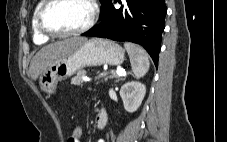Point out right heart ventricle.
I'll return each instance as SVG.
<instances>
[{"label": "right heart ventricle", "instance_id": "obj_1", "mask_svg": "<svg viewBox=\"0 0 227 142\" xmlns=\"http://www.w3.org/2000/svg\"><path fill=\"white\" fill-rule=\"evenodd\" d=\"M44 3V0H39L33 10L32 20H31V28H32V34H33V40L36 44H43L46 43L50 37L47 35H44L40 32L37 24V15L40 7Z\"/></svg>", "mask_w": 227, "mask_h": 142}]
</instances>
